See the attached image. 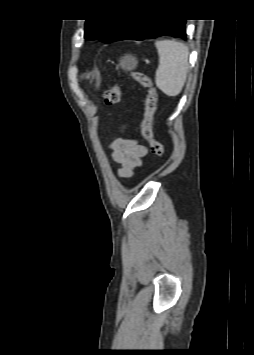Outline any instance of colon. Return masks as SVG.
I'll use <instances>...</instances> for the list:
<instances>
[{"label": "colon", "instance_id": "5ec220e1", "mask_svg": "<svg viewBox=\"0 0 254 355\" xmlns=\"http://www.w3.org/2000/svg\"><path fill=\"white\" fill-rule=\"evenodd\" d=\"M130 77L147 89L141 133L145 141L149 144L152 153L157 157H162L165 152L164 145L160 141L156 140L153 132V123L158 102L157 90L152 80L141 72H132ZM121 94V84L116 82L111 88L104 92V103L107 106L117 105L121 100Z\"/></svg>", "mask_w": 254, "mask_h": 355}]
</instances>
